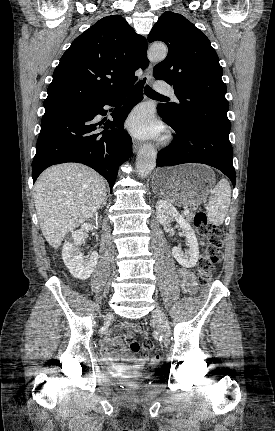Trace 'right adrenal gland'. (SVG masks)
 <instances>
[{"mask_svg":"<svg viewBox=\"0 0 275 431\" xmlns=\"http://www.w3.org/2000/svg\"><path fill=\"white\" fill-rule=\"evenodd\" d=\"M106 201H107V198H105V200H104V202H103L102 206H105V205H106Z\"/></svg>","mask_w":275,"mask_h":431,"instance_id":"right-adrenal-gland-1","label":"right adrenal gland"}]
</instances>
